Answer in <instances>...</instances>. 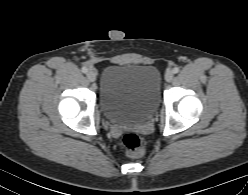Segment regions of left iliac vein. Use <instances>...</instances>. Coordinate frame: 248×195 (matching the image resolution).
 Here are the masks:
<instances>
[{
	"mask_svg": "<svg viewBox=\"0 0 248 195\" xmlns=\"http://www.w3.org/2000/svg\"><path fill=\"white\" fill-rule=\"evenodd\" d=\"M173 77H174V73L172 71H168L166 74H165V80L167 82H171L173 80Z\"/></svg>",
	"mask_w": 248,
	"mask_h": 195,
	"instance_id": "left-iliac-vein-1",
	"label": "left iliac vein"
}]
</instances>
